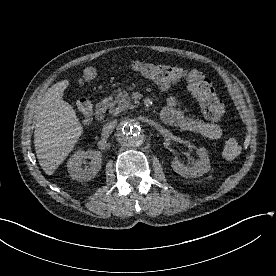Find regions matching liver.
I'll return each mask as SVG.
<instances>
[{
	"mask_svg": "<svg viewBox=\"0 0 276 276\" xmlns=\"http://www.w3.org/2000/svg\"><path fill=\"white\" fill-rule=\"evenodd\" d=\"M68 85L66 79L52 85L36 106L35 151L47 175L55 173L83 134L75 110L63 100Z\"/></svg>",
	"mask_w": 276,
	"mask_h": 276,
	"instance_id": "liver-1",
	"label": "liver"
}]
</instances>
